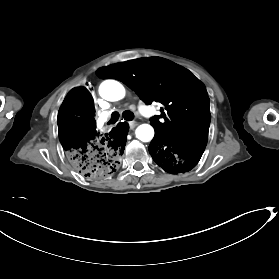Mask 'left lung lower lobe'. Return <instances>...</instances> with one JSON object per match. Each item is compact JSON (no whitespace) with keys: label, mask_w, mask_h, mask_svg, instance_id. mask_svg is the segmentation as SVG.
Segmentation results:
<instances>
[{"label":"left lung lower lobe","mask_w":279,"mask_h":279,"mask_svg":"<svg viewBox=\"0 0 279 279\" xmlns=\"http://www.w3.org/2000/svg\"><path fill=\"white\" fill-rule=\"evenodd\" d=\"M206 143L202 139H178L156 132L148 149L161 168L168 173L178 174L188 172L196 166Z\"/></svg>","instance_id":"left-lung-lower-lobe-1"}]
</instances>
